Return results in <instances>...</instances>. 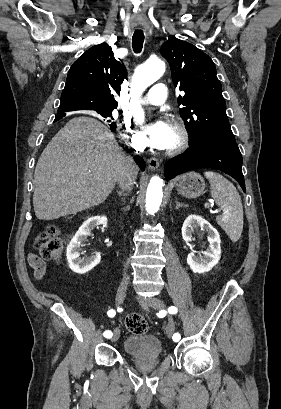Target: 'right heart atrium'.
<instances>
[{"label": "right heart atrium", "mask_w": 281, "mask_h": 409, "mask_svg": "<svg viewBox=\"0 0 281 409\" xmlns=\"http://www.w3.org/2000/svg\"><path fill=\"white\" fill-rule=\"evenodd\" d=\"M133 118L136 122L141 120V114L134 115ZM121 137L123 142L128 145L130 148L141 151L143 149V145L139 140L138 136L133 132L131 123H126L124 125L123 131L121 133Z\"/></svg>", "instance_id": "obj_1"}]
</instances>
